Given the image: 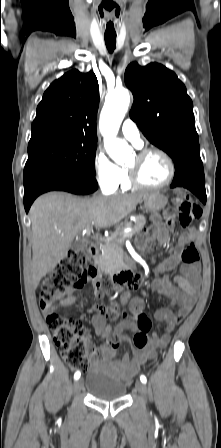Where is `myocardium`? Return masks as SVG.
<instances>
[{"instance_id":"myocardium-1","label":"myocardium","mask_w":221,"mask_h":448,"mask_svg":"<svg viewBox=\"0 0 221 448\" xmlns=\"http://www.w3.org/2000/svg\"><path fill=\"white\" fill-rule=\"evenodd\" d=\"M153 153H157V154L161 155L167 162L168 167H169L168 178L166 179L165 182L158 184V185L147 184L142 180L138 171L135 168L128 167L129 182L133 187L146 188V189H161V188H164V187L170 185L172 183V181L174 180V178L176 176V171H177L176 164H175L174 160L172 159V157L163 149H160L157 147L143 148L137 153V157L139 159H144L145 157H147L148 155L153 154Z\"/></svg>"}]
</instances>
